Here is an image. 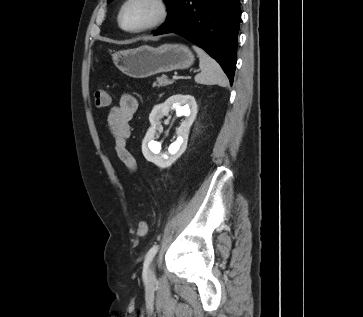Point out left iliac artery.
Returning <instances> with one entry per match:
<instances>
[{
  "label": "left iliac artery",
  "instance_id": "1",
  "mask_svg": "<svg viewBox=\"0 0 363 317\" xmlns=\"http://www.w3.org/2000/svg\"><path fill=\"white\" fill-rule=\"evenodd\" d=\"M158 249H159V246L158 245H154L153 247H151L149 249V251L146 254V259H145V263L147 265L153 260V258L156 255Z\"/></svg>",
  "mask_w": 363,
  "mask_h": 317
}]
</instances>
